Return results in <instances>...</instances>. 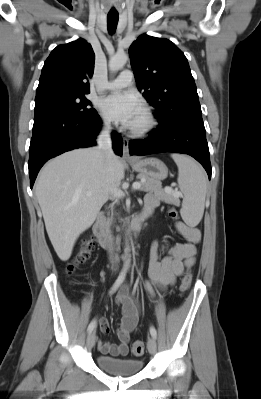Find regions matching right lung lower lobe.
Wrapping results in <instances>:
<instances>
[{
  "mask_svg": "<svg viewBox=\"0 0 261 399\" xmlns=\"http://www.w3.org/2000/svg\"><path fill=\"white\" fill-rule=\"evenodd\" d=\"M100 127L98 114L90 119H81L63 112L35 116L28 162L31 188L39 170L50 158L72 149L96 145L95 138ZM112 141L114 152L121 156V136L113 132Z\"/></svg>",
  "mask_w": 261,
  "mask_h": 399,
  "instance_id": "obj_1",
  "label": "right lung lower lobe"
}]
</instances>
